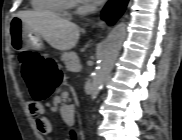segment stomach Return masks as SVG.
Listing matches in <instances>:
<instances>
[{"label":"stomach","instance_id":"1","mask_svg":"<svg viewBox=\"0 0 182 140\" xmlns=\"http://www.w3.org/2000/svg\"><path fill=\"white\" fill-rule=\"evenodd\" d=\"M11 45L14 49H39L42 46L40 35L31 31L20 17H15L10 25Z\"/></svg>","mask_w":182,"mask_h":140}]
</instances>
